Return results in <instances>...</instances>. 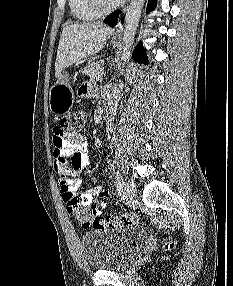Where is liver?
Listing matches in <instances>:
<instances>
[{"mask_svg": "<svg viewBox=\"0 0 233 286\" xmlns=\"http://www.w3.org/2000/svg\"><path fill=\"white\" fill-rule=\"evenodd\" d=\"M114 30L101 22H84L63 28L55 61V76L103 49Z\"/></svg>", "mask_w": 233, "mask_h": 286, "instance_id": "obj_1", "label": "liver"}]
</instances>
